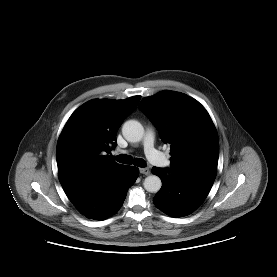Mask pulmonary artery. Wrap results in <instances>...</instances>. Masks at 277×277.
Segmentation results:
<instances>
[{"label":"pulmonary artery","instance_id":"pulmonary-artery-1","mask_svg":"<svg viewBox=\"0 0 277 277\" xmlns=\"http://www.w3.org/2000/svg\"><path fill=\"white\" fill-rule=\"evenodd\" d=\"M144 151L149 161L160 167L170 166V161L154 147V133L147 129L143 140Z\"/></svg>","mask_w":277,"mask_h":277}]
</instances>
